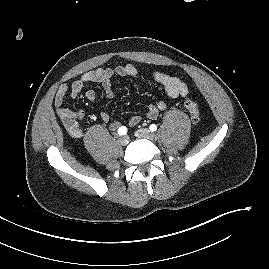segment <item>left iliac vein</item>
Masks as SVG:
<instances>
[{
    "label": "left iliac vein",
    "mask_w": 269,
    "mask_h": 269,
    "mask_svg": "<svg viewBox=\"0 0 269 269\" xmlns=\"http://www.w3.org/2000/svg\"><path fill=\"white\" fill-rule=\"evenodd\" d=\"M136 137L146 138L152 140L155 137V134L147 128L139 129L135 132Z\"/></svg>",
    "instance_id": "obj_1"
}]
</instances>
